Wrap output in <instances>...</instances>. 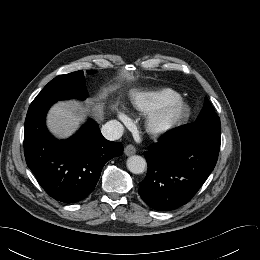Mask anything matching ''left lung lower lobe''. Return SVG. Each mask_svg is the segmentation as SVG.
Returning <instances> with one entry per match:
<instances>
[{
	"mask_svg": "<svg viewBox=\"0 0 260 260\" xmlns=\"http://www.w3.org/2000/svg\"><path fill=\"white\" fill-rule=\"evenodd\" d=\"M221 138L168 132L144 152L148 163L139 194L151 208L166 211L186 204L213 171Z\"/></svg>",
	"mask_w": 260,
	"mask_h": 260,
	"instance_id": "obj_1",
	"label": "left lung lower lobe"
}]
</instances>
